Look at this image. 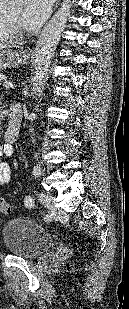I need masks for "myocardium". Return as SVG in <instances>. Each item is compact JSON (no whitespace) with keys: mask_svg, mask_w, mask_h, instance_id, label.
Here are the masks:
<instances>
[{"mask_svg":"<svg viewBox=\"0 0 129 309\" xmlns=\"http://www.w3.org/2000/svg\"><path fill=\"white\" fill-rule=\"evenodd\" d=\"M5 25L7 27V29L9 30V33L13 36V37H19L22 34V31L20 29H18L13 22L4 14L3 16Z\"/></svg>","mask_w":129,"mask_h":309,"instance_id":"myocardium-1","label":"myocardium"}]
</instances>
